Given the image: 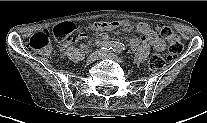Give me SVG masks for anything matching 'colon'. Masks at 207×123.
<instances>
[{
	"label": "colon",
	"instance_id": "obj_1",
	"mask_svg": "<svg viewBox=\"0 0 207 123\" xmlns=\"http://www.w3.org/2000/svg\"><path fill=\"white\" fill-rule=\"evenodd\" d=\"M155 28L159 34L168 41V59L174 58L183 52V43L181 42L180 38L174 33L172 28L159 24L156 25ZM53 33L61 43H68L75 39V26L70 22H62L54 27ZM29 45L38 53L50 57L52 51L50 46V31L42 30L35 33L31 36ZM164 62L165 56L163 54L156 53L150 57L148 61V67L151 71H157L164 66Z\"/></svg>",
	"mask_w": 207,
	"mask_h": 123
}]
</instances>
